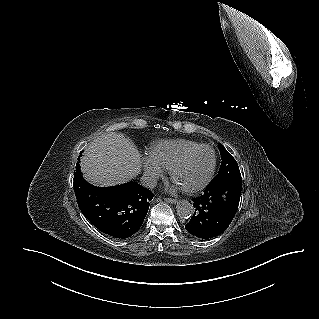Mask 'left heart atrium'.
Returning a JSON list of instances; mask_svg holds the SVG:
<instances>
[{"instance_id":"39dd6f15","label":"left heart atrium","mask_w":319,"mask_h":319,"mask_svg":"<svg viewBox=\"0 0 319 319\" xmlns=\"http://www.w3.org/2000/svg\"><path fill=\"white\" fill-rule=\"evenodd\" d=\"M178 187H179L178 185L175 186V188H178ZM179 188H180V187H179Z\"/></svg>"}]
</instances>
